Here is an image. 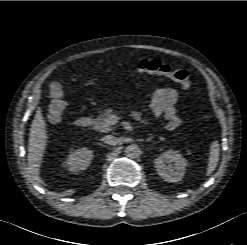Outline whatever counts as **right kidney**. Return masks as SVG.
Here are the masks:
<instances>
[{"label":"right kidney","mask_w":247,"mask_h":245,"mask_svg":"<svg viewBox=\"0 0 247 245\" xmlns=\"http://www.w3.org/2000/svg\"><path fill=\"white\" fill-rule=\"evenodd\" d=\"M92 157V150H89L88 148H79L68 155L65 165L72 172L85 170L89 167Z\"/></svg>","instance_id":"ca27d5eb"}]
</instances>
